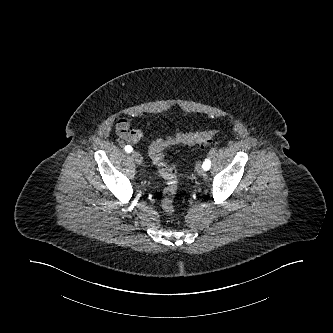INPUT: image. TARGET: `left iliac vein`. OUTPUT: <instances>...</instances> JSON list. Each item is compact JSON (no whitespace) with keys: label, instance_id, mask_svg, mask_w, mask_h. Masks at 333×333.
<instances>
[{"label":"left iliac vein","instance_id":"1","mask_svg":"<svg viewBox=\"0 0 333 333\" xmlns=\"http://www.w3.org/2000/svg\"><path fill=\"white\" fill-rule=\"evenodd\" d=\"M196 172L198 175L202 176L204 175L205 171L200 163L196 165Z\"/></svg>","mask_w":333,"mask_h":333}]
</instances>
